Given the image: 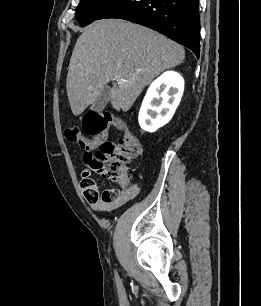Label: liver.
<instances>
[{"label":"liver","instance_id":"obj_1","mask_svg":"<svg viewBox=\"0 0 261 306\" xmlns=\"http://www.w3.org/2000/svg\"><path fill=\"white\" fill-rule=\"evenodd\" d=\"M184 48L147 27L122 19H103L77 39L66 80L72 113L80 115L95 102L114 76L111 105L128 111L143 89L161 72L183 62Z\"/></svg>","mask_w":261,"mask_h":306}]
</instances>
